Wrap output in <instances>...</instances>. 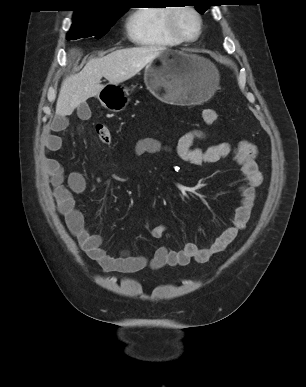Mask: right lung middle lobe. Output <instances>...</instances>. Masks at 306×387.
Here are the masks:
<instances>
[{
	"label": "right lung middle lobe",
	"instance_id": "1",
	"mask_svg": "<svg viewBox=\"0 0 306 387\" xmlns=\"http://www.w3.org/2000/svg\"><path fill=\"white\" fill-rule=\"evenodd\" d=\"M125 9L127 10V8ZM126 10L120 13L97 18H74L72 27L67 34V38L70 40L91 36L101 38L109 31L110 27L124 14Z\"/></svg>",
	"mask_w": 306,
	"mask_h": 387
}]
</instances>
